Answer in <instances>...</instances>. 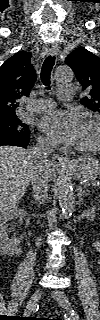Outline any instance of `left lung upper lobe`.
<instances>
[{
    "instance_id": "left-lung-upper-lobe-1",
    "label": "left lung upper lobe",
    "mask_w": 100,
    "mask_h": 320,
    "mask_svg": "<svg viewBox=\"0 0 100 320\" xmlns=\"http://www.w3.org/2000/svg\"><path fill=\"white\" fill-rule=\"evenodd\" d=\"M83 89L90 93L81 99V104L100 113V58L83 47L75 49L66 59Z\"/></svg>"
}]
</instances>
